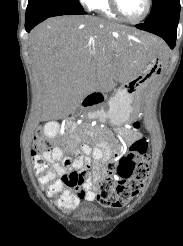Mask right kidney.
<instances>
[{
    "instance_id": "1",
    "label": "right kidney",
    "mask_w": 183,
    "mask_h": 246,
    "mask_svg": "<svg viewBox=\"0 0 183 246\" xmlns=\"http://www.w3.org/2000/svg\"><path fill=\"white\" fill-rule=\"evenodd\" d=\"M59 124L57 122H48L46 123L45 127H44V134L47 137H55V135L58 133L59 131Z\"/></svg>"
}]
</instances>
